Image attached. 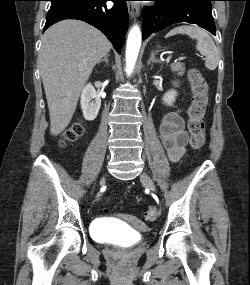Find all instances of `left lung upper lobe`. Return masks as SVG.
<instances>
[{
    "label": "left lung upper lobe",
    "mask_w": 250,
    "mask_h": 285,
    "mask_svg": "<svg viewBox=\"0 0 250 285\" xmlns=\"http://www.w3.org/2000/svg\"><path fill=\"white\" fill-rule=\"evenodd\" d=\"M163 1L166 2V3H173V2L180 1V0H163ZM196 1H199V2H201L203 4L211 6V1H213V0H196Z\"/></svg>",
    "instance_id": "1"
}]
</instances>
